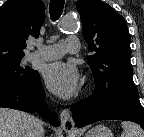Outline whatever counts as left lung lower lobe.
I'll use <instances>...</instances> for the list:
<instances>
[{
  "instance_id": "1",
  "label": "left lung lower lobe",
  "mask_w": 144,
  "mask_h": 137,
  "mask_svg": "<svg viewBox=\"0 0 144 137\" xmlns=\"http://www.w3.org/2000/svg\"><path fill=\"white\" fill-rule=\"evenodd\" d=\"M71 113L77 127L100 120H125L138 123L144 129V110L138 91L97 93L71 105Z\"/></svg>"
}]
</instances>
